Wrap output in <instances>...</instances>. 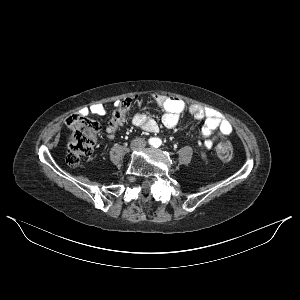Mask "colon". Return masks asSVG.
<instances>
[{
  "mask_svg": "<svg viewBox=\"0 0 300 300\" xmlns=\"http://www.w3.org/2000/svg\"><path fill=\"white\" fill-rule=\"evenodd\" d=\"M137 103L135 98H126L120 101L109 121L108 130L113 132L125 120L127 112ZM66 125L71 133L67 141L66 161L68 165L77 167L84 157L89 156L97 139L98 124L79 114H73L66 119ZM217 154L222 160H230L233 156V147L230 142H222L217 146Z\"/></svg>",
  "mask_w": 300,
  "mask_h": 300,
  "instance_id": "1",
  "label": "colon"
}]
</instances>
